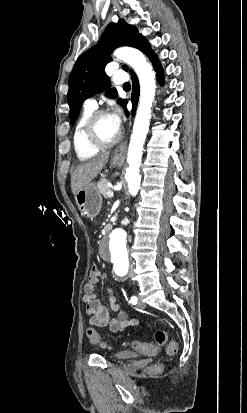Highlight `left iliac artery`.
Instances as JSON below:
<instances>
[{
  "instance_id": "left-iliac-artery-1",
  "label": "left iliac artery",
  "mask_w": 247,
  "mask_h": 413,
  "mask_svg": "<svg viewBox=\"0 0 247 413\" xmlns=\"http://www.w3.org/2000/svg\"><path fill=\"white\" fill-rule=\"evenodd\" d=\"M137 301H138V299H137L136 296H132L131 299H130V303H132L133 305H136Z\"/></svg>"
}]
</instances>
